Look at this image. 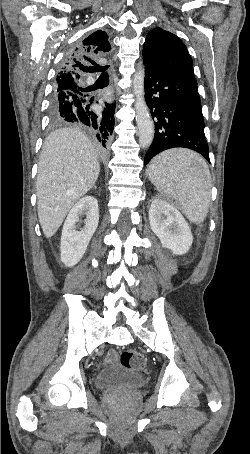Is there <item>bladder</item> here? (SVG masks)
Instances as JSON below:
<instances>
[{"instance_id":"obj_1","label":"bladder","mask_w":250,"mask_h":454,"mask_svg":"<svg viewBox=\"0 0 250 454\" xmlns=\"http://www.w3.org/2000/svg\"><path fill=\"white\" fill-rule=\"evenodd\" d=\"M145 375L122 364H110L94 376V386L101 391H129L142 387Z\"/></svg>"}]
</instances>
